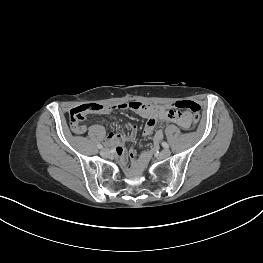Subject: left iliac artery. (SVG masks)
Segmentation results:
<instances>
[{
    "label": "left iliac artery",
    "instance_id": "obj_1",
    "mask_svg": "<svg viewBox=\"0 0 263 263\" xmlns=\"http://www.w3.org/2000/svg\"><path fill=\"white\" fill-rule=\"evenodd\" d=\"M162 146H163L164 148H166V149L169 148V145H168L166 142H162Z\"/></svg>",
    "mask_w": 263,
    "mask_h": 263
}]
</instances>
